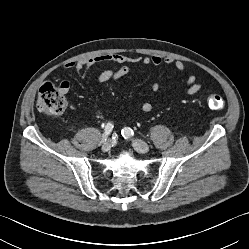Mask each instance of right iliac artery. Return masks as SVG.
Listing matches in <instances>:
<instances>
[{"label":"right iliac artery","mask_w":249,"mask_h":249,"mask_svg":"<svg viewBox=\"0 0 249 249\" xmlns=\"http://www.w3.org/2000/svg\"><path fill=\"white\" fill-rule=\"evenodd\" d=\"M113 127H114L113 124L110 122L106 124L105 129H104V133H103L101 141H100V144L107 140L108 136L112 132Z\"/></svg>","instance_id":"1"}]
</instances>
